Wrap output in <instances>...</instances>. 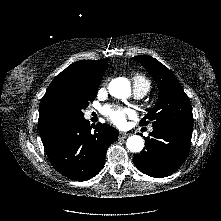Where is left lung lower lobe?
<instances>
[{
    "label": "left lung lower lobe",
    "instance_id": "left-lung-lower-lobe-1",
    "mask_svg": "<svg viewBox=\"0 0 221 221\" xmlns=\"http://www.w3.org/2000/svg\"><path fill=\"white\" fill-rule=\"evenodd\" d=\"M146 138L145 148L134 156L137 168L143 173L163 178L173 174L189 153L192 129L157 126Z\"/></svg>",
    "mask_w": 221,
    "mask_h": 221
}]
</instances>
